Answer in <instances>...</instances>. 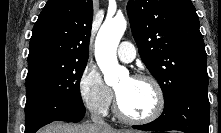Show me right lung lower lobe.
Listing matches in <instances>:
<instances>
[{
  "label": "right lung lower lobe",
  "mask_w": 221,
  "mask_h": 133,
  "mask_svg": "<svg viewBox=\"0 0 221 133\" xmlns=\"http://www.w3.org/2000/svg\"><path fill=\"white\" fill-rule=\"evenodd\" d=\"M25 133H35L42 126L53 121L78 122L85 114L83 102H54L37 93L27 94L25 106Z\"/></svg>",
  "instance_id": "98d812e1"
}]
</instances>
